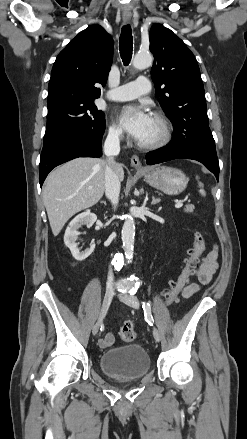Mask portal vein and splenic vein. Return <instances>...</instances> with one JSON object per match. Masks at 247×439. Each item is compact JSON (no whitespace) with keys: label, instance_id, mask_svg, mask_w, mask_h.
Returning <instances> with one entry per match:
<instances>
[{"label":"portal vein and splenic vein","instance_id":"obj_1","mask_svg":"<svg viewBox=\"0 0 247 439\" xmlns=\"http://www.w3.org/2000/svg\"><path fill=\"white\" fill-rule=\"evenodd\" d=\"M182 206H183V201H177L176 204H175L176 208H180Z\"/></svg>","mask_w":247,"mask_h":439}]
</instances>
